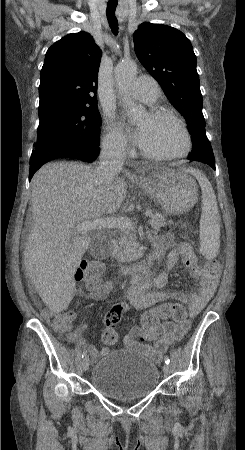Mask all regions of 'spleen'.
<instances>
[{
    "label": "spleen",
    "mask_w": 245,
    "mask_h": 450,
    "mask_svg": "<svg viewBox=\"0 0 245 450\" xmlns=\"http://www.w3.org/2000/svg\"><path fill=\"white\" fill-rule=\"evenodd\" d=\"M199 182L202 190V209L200 219V252L207 259H213L218 255L220 247V215L216 196L211 183L200 171L188 168Z\"/></svg>",
    "instance_id": "obj_1"
}]
</instances>
